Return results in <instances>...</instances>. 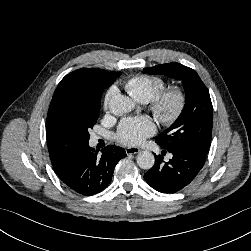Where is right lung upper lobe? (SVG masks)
<instances>
[{"label": "right lung upper lobe", "instance_id": "1", "mask_svg": "<svg viewBox=\"0 0 251 251\" xmlns=\"http://www.w3.org/2000/svg\"><path fill=\"white\" fill-rule=\"evenodd\" d=\"M120 75V72L82 68L69 73L60 81L52 97L46 120V137L52 164L81 145L71 121L73 92L84 85L112 84Z\"/></svg>", "mask_w": 251, "mask_h": 251}]
</instances>
